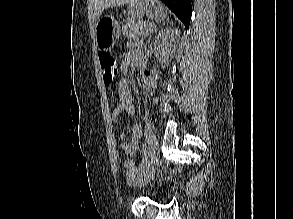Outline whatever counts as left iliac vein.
<instances>
[{
  "label": "left iliac vein",
  "mask_w": 293,
  "mask_h": 219,
  "mask_svg": "<svg viewBox=\"0 0 293 219\" xmlns=\"http://www.w3.org/2000/svg\"><path fill=\"white\" fill-rule=\"evenodd\" d=\"M150 148H151V158L145 166L146 172L144 175H146L149 169L155 164L159 155V143H158L154 129L151 130L150 132Z\"/></svg>",
  "instance_id": "obj_1"
}]
</instances>
